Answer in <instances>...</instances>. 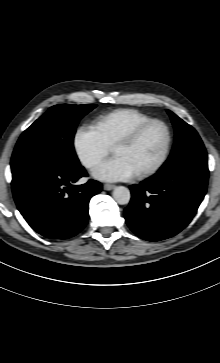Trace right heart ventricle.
<instances>
[{
	"instance_id": "e07e8e85",
	"label": "right heart ventricle",
	"mask_w": 220,
	"mask_h": 363,
	"mask_svg": "<svg viewBox=\"0 0 220 363\" xmlns=\"http://www.w3.org/2000/svg\"><path fill=\"white\" fill-rule=\"evenodd\" d=\"M152 119L149 115L133 108L118 109L99 116L95 128L108 146L137 125Z\"/></svg>"
}]
</instances>
